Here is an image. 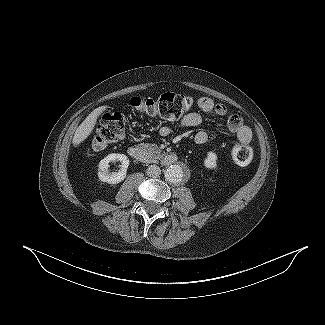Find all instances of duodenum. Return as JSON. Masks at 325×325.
<instances>
[{"label":"duodenum","instance_id":"1","mask_svg":"<svg viewBox=\"0 0 325 325\" xmlns=\"http://www.w3.org/2000/svg\"><path fill=\"white\" fill-rule=\"evenodd\" d=\"M128 153L129 155L134 158L135 160L141 162V163H151L153 161L151 155L144 150L142 147L138 146V145H131L128 148ZM177 156L176 154L173 153H167L165 154L162 159H161V163L163 165H171L177 162Z\"/></svg>","mask_w":325,"mask_h":325}]
</instances>
